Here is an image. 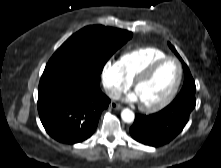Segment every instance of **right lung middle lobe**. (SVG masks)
Here are the masks:
<instances>
[{
  "instance_id": "right-lung-middle-lobe-1",
  "label": "right lung middle lobe",
  "mask_w": 221,
  "mask_h": 168,
  "mask_svg": "<svg viewBox=\"0 0 221 168\" xmlns=\"http://www.w3.org/2000/svg\"><path fill=\"white\" fill-rule=\"evenodd\" d=\"M132 35L129 31L102 25L84 27L56 50L48 64L83 62L101 73L108 59Z\"/></svg>"
}]
</instances>
